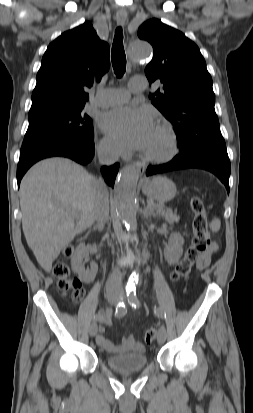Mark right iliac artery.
I'll return each instance as SVG.
<instances>
[{"mask_svg": "<svg viewBox=\"0 0 253 413\" xmlns=\"http://www.w3.org/2000/svg\"><path fill=\"white\" fill-rule=\"evenodd\" d=\"M127 313V309L125 303L123 301H119L115 308V316L123 317ZM104 319V313H98L93 317V321H99Z\"/></svg>", "mask_w": 253, "mask_h": 413, "instance_id": "1", "label": "right iliac artery"}]
</instances>
